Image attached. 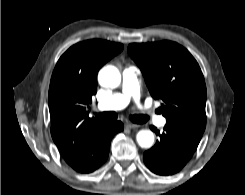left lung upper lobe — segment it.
<instances>
[{"mask_svg":"<svg viewBox=\"0 0 245 195\" xmlns=\"http://www.w3.org/2000/svg\"><path fill=\"white\" fill-rule=\"evenodd\" d=\"M128 53L142 71L150 94L162 101L168 123L203 133L206 126V85L194 57L171 42L133 43Z\"/></svg>","mask_w":245,"mask_h":195,"instance_id":"5c2ea615","label":"left lung upper lobe"}]
</instances>
